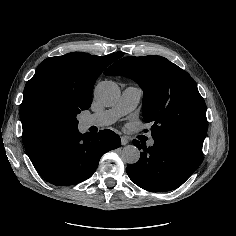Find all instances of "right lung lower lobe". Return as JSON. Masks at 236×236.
<instances>
[{
  "label": "right lung lower lobe",
  "instance_id": "obj_1",
  "mask_svg": "<svg viewBox=\"0 0 236 236\" xmlns=\"http://www.w3.org/2000/svg\"><path fill=\"white\" fill-rule=\"evenodd\" d=\"M121 145L111 130L81 134L78 130L53 141L32 163L38 173L57 186L80 183L95 172L101 156Z\"/></svg>",
  "mask_w": 236,
  "mask_h": 236
}]
</instances>
